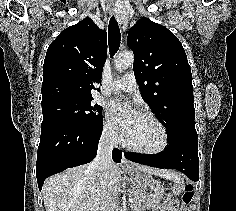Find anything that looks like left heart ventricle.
Returning <instances> with one entry per match:
<instances>
[{"instance_id": "1", "label": "left heart ventricle", "mask_w": 236, "mask_h": 211, "mask_svg": "<svg viewBox=\"0 0 236 211\" xmlns=\"http://www.w3.org/2000/svg\"><path fill=\"white\" fill-rule=\"evenodd\" d=\"M124 135L128 143L145 150H155L162 142L159 127L152 120L142 115L137 116Z\"/></svg>"}]
</instances>
